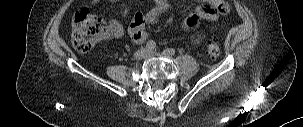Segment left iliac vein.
<instances>
[{
	"instance_id": "1",
	"label": "left iliac vein",
	"mask_w": 303,
	"mask_h": 127,
	"mask_svg": "<svg viewBox=\"0 0 303 127\" xmlns=\"http://www.w3.org/2000/svg\"><path fill=\"white\" fill-rule=\"evenodd\" d=\"M167 56L164 53L156 52V51H148L147 57H154V56Z\"/></svg>"
}]
</instances>
